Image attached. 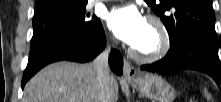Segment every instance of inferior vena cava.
<instances>
[{
	"label": "inferior vena cava",
	"instance_id": "1",
	"mask_svg": "<svg viewBox=\"0 0 221 102\" xmlns=\"http://www.w3.org/2000/svg\"><path fill=\"white\" fill-rule=\"evenodd\" d=\"M109 48L101 52L92 62L97 74V97L96 102H107L106 87L110 78L109 69Z\"/></svg>",
	"mask_w": 221,
	"mask_h": 102
}]
</instances>
